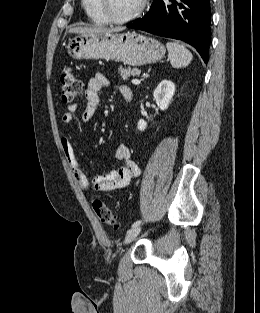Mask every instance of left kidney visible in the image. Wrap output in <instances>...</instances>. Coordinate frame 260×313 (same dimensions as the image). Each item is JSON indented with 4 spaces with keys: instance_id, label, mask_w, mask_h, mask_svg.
Segmentation results:
<instances>
[{
    "instance_id": "5707ae66",
    "label": "left kidney",
    "mask_w": 260,
    "mask_h": 313,
    "mask_svg": "<svg viewBox=\"0 0 260 313\" xmlns=\"http://www.w3.org/2000/svg\"><path fill=\"white\" fill-rule=\"evenodd\" d=\"M175 85L170 80H163L159 83L153 93V97L156 101L157 106L163 111L166 110L174 96ZM138 129L144 131L147 127V122L143 119L138 121Z\"/></svg>"
}]
</instances>
